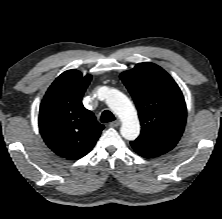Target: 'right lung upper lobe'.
<instances>
[{
	"instance_id": "right-lung-upper-lobe-1",
	"label": "right lung upper lobe",
	"mask_w": 222,
	"mask_h": 219,
	"mask_svg": "<svg viewBox=\"0 0 222 219\" xmlns=\"http://www.w3.org/2000/svg\"><path fill=\"white\" fill-rule=\"evenodd\" d=\"M91 81L77 70L63 72L47 90L39 111V129L47 146L69 160L85 156L94 147L104 126L82 105Z\"/></svg>"
}]
</instances>
